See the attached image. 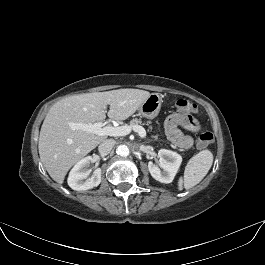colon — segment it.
Listing matches in <instances>:
<instances>
[{
    "mask_svg": "<svg viewBox=\"0 0 265 265\" xmlns=\"http://www.w3.org/2000/svg\"><path fill=\"white\" fill-rule=\"evenodd\" d=\"M176 107L181 110L196 112L197 106L184 98H180L176 101ZM214 141V136L211 132H204L198 136L197 146L200 149L206 148Z\"/></svg>",
    "mask_w": 265,
    "mask_h": 265,
    "instance_id": "colon-1",
    "label": "colon"
}]
</instances>
